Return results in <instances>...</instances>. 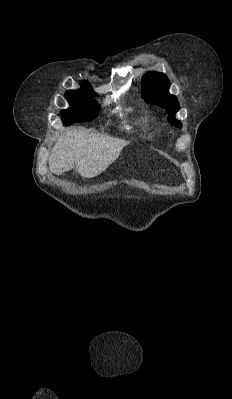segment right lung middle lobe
<instances>
[{"label": "right lung middle lobe", "mask_w": 232, "mask_h": 399, "mask_svg": "<svg viewBox=\"0 0 232 399\" xmlns=\"http://www.w3.org/2000/svg\"><path fill=\"white\" fill-rule=\"evenodd\" d=\"M70 108L61 111L65 126L76 122L93 120L100 111V105L94 99L96 95H65Z\"/></svg>", "instance_id": "1"}]
</instances>
